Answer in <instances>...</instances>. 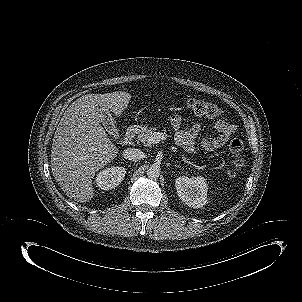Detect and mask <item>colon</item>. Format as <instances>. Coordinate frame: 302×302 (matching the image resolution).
Masks as SVG:
<instances>
[{
    "label": "colon",
    "mask_w": 302,
    "mask_h": 302,
    "mask_svg": "<svg viewBox=\"0 0 302 302\" xmlns=\"http://www.w3.org/2000/svg\"><path fill=\"white\" fill-rule=\"evenodd\" d=\"M188 106L196 114L208 116V117H217L222 114V109L216 104L208 103L202 100L190 99L188 101ZM229 149L231 154L234 157L235 168L238 169L243 166L244 163V146L243 143L238 139H233L230 142ZM229 176L235 174V170H230L228 172Z\"/></svg>",
    "instance_id": "1"
}]
</instances>
